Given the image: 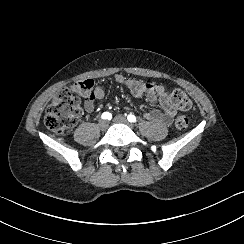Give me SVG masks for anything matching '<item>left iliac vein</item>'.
I'll list each match as a JSON object with an SVG mask.
<instances>
[{
  "label": "left iliac vein",
  "instance_id": "obj_1",
  "mask_svg": "<svg viewBox=\"0 0 244 244\" xmlns=\"http://www.w3.org/2000/svg\"><path fill=\"white\" fill-rule=\"evenodd\" d=\"M114 122L128 125L130 128L133 127V125H132L131 123H129V122L127 121V119H126L124 116H121V115H117V116L114 118Z\"/></svg>",
  "mask_w": 244,
  "mask_h": 244
}]
</instances>
